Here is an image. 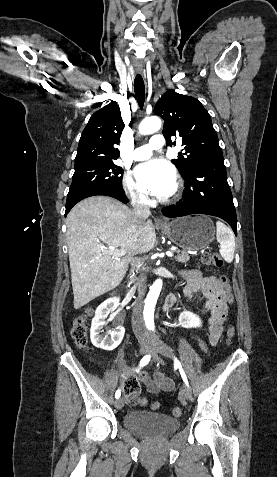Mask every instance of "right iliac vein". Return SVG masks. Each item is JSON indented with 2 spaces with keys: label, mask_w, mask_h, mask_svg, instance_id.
<instances>
[{
  "label": "right iliac vein",
  "mask_w": 277,
  "mask_h": 477,
  "mask_svg": "<svg viewBox=\"0 0 277 477\" xmlns=\"http://www.w3.org/2000/svg\"><path fill=\"white\" fill-rule=\"evenodd\" d=\"M149 350H150V344L146 341H141L140 342V353L141 354H146V353L149 352ZM114 405L117 409H121L124 406L123 398H118L115 401Z\"/></svg>",
  "instance_id": "obj_1"
}]
</instances>
